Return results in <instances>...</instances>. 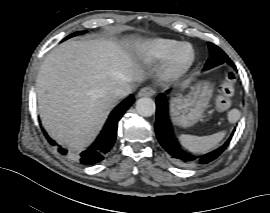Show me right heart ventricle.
I'll use <instances>...</instances> for the list:
<instances>
[{"label":"right heart ventricle","instance_id":"e07e8e85","mask_svg":"<svg viewBox=\"0 0 270 213\" xmlns=\"http://www.w3.org/2000/svg\"><path fill=\"white\" fill-rule=\"evenodd\" d=\"M177 43L175 40L164 38L148 40L139 49L140 58L146 64L165 60Z\"/></svg>","mask_w":270,"mask_h":213}]
</instances>
